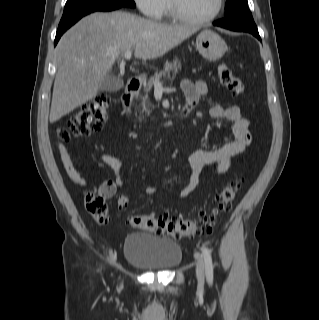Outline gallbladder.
<instances>
[{
  "label": "gallbladder",
  "mask_w": 319,
  "mask_h": 320,
  "mask_svg": "<svg viewBox=\"0 0 319 320\" xmlns=\"http://www.w3.org/2000/svg\"><path fill=\"white\" fill-rule=\"evenodd\" d=\"M124 86L123 80L119 76L107 74L99 86L100 91L115 92Z\"/></svg>",
  "instance_id": "bac80fb5"
}]
</instances>
